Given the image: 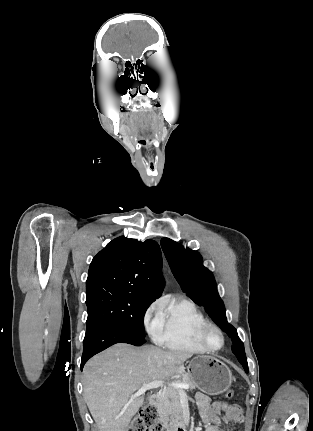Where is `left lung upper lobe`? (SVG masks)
<instances>
[{
	"label": "left lung upper lobe",
	"instance_id": "left-lung-upper-lobe-1",
	"mask_svg": "<svg viewBox=\"0 0 313 431\" xmlns=\"http://www.w3.org/2000/svg\"><path fill=\"white\" fill-rule=\"evenodd\" d=\"M161 247L172 273L186 294L198 305L204 306L213 321L232 339V351L249 372L244 344L236 329L227 322L223 301L217 292V285L211 271L203 266L199 252L184 248L177 242L161 239Z\"/></svg>",
	"mask_w": 313,
	"mask_h": 431
}]
</instances>
